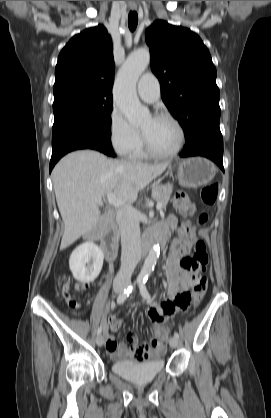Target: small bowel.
I'll use <instances>...</instances> for the list:
<instances>
[{
	"mask_svg": "<svg viewBox=\"0 0 271 418\" xmlns=\"http://www.w3.org/2000/svg\"><path fill=\"white\" fill-rule=\"evenodd\" d=\"M177 219L170 216L167 220V226L170 228L177 227ZM167 232L165 227H158ZM185 254L184 249L176 244L169 256L166 273L168 278V297L161 304H152L148 309V316L154 324L155 338L150 344H139L138 336L134 332L127 335L131 343L128 347L124 343H118L115 335L105 333L104 343L107 353L111 359L129 358L144 361L148 358H153L162 355L165 352L163 340L167 337L168 330L164 324L173 317V315L181 310H186L191 301L190 288L195 286L196 280L192 274H188L181 267V259ZM77 288L81 291L87 288V284L79 283ZM188 300L184 305L182 300ZM110 325L113 332H117L122 321L115 316H111Z\"/></svg>",
	"mask_w": 271,
	"mask_h": 418,
	"instance_id": "obj_1",
	"label": "small bowel"
}]
</instances>
